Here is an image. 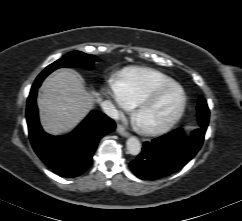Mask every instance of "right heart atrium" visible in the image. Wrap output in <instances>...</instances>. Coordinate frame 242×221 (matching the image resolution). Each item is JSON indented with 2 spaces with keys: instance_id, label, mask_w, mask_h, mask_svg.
<instances>
[{
  "instance_id": "right-heart-atrium-1",
  "label": "right heart atrium",
  "mask_w": 242,
  "mask_h": 221,
  "mask_svg": "<svg viewBox=\"0 0 242 221\" xmlns=\"http://www.w3.org/2000/svg\"><path fill=\"white\" fill-rule=\"evenodd\" d=\"M109 94L111 98L113 99L117 109L119 111H126L130 109V104L127 102V100L123 97V95L118 90L115 83H113L109 89Z\"/></svg>"
}]
</instances>
